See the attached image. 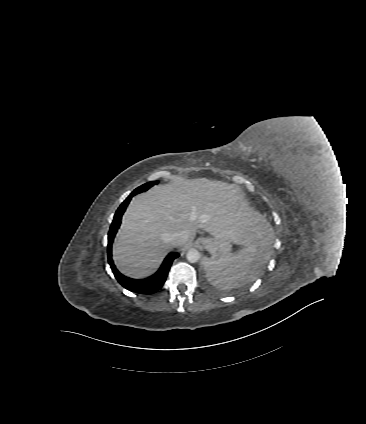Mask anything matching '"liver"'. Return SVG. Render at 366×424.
<instances>
[{"label":"liver","instance_id":"obj_1","mask_svg":"<svg viewBox=\"0 0 366 424\" xmlns=\"http://www.w3.org/2000/svg\"><path fill=\"white\" fill-rule=\"evenodd\" d=\"M236 245L267 244L271 227L233 184L207 178L178 179L134 197L113 244V259L133 279L150 275L172 249L170 235L197 230Z\"/></svg>","mask_w":366,"mask_h":424}]
</instances>
